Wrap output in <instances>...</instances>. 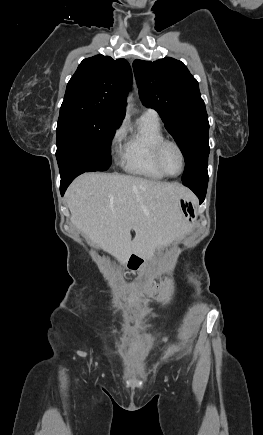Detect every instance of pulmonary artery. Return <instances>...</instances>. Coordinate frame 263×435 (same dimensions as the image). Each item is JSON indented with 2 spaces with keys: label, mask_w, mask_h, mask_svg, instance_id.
I'll list each match as a JSON object with an SVG mask.
<instances>
[{
  "label": "pulmonary artery",
  "mask_w": 263,
  "mask_h": 435,
  "mask_svg": "<svg viewBox=\"0 0 263 435\" xmlns=\"http://www.w3.org/2000/svg\"><path fill=\"white\" fill-rule=\"evenodd\" d=\"M143 116H147V117L159 120L158 113L155 110H153V109H146L143 112Z\"/></svg>",
  "instance_id": "e3ab8cb5"
}]
</instances>
